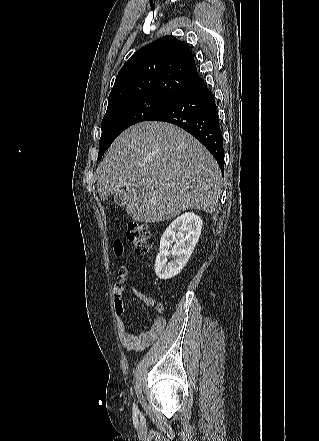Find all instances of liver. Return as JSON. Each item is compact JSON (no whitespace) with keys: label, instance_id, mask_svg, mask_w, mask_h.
Instances as JSON below:
<instances>
[{"label":"liver","instance_id":"obj_1","mask_svg":"<svg viewBox=\"0 0 319 441\" xmlns=\"http://www.w3.org/2000/svg\"><path fill=\"white\" fill-rule=\"evenodd\" d=\"M126 188L127 213L154 223L197 209L213 213L222 174L211 153L176 125L144 121L121 133L101 163V200Z\"/></svg>","mask_w":319,"mask_h":441}]
</instances>
